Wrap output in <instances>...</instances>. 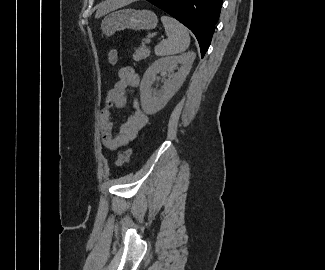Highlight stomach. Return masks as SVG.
<instances>
[{
  "label": "stomach",
  "instance_id": "obj_1",
  "mask_svg": "<svg viewBox=\"0 0 325 270\" xmlns=\"http://www.w3.org/2000/svg\"><path fill=\"white\" fill-rule=\"evenodd\" d=\"M158 23L157 16L147 10L123 9L107 15L101 24L107 36L124 29H154Z\"/></svg>",
  "mask_w": 325,
  "mask_h": 270
}]
</instances>
